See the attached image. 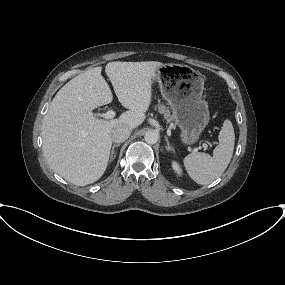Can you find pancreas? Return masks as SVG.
I'll list each match as a JSON object with an SVG mask.
<instances>
[{"mask_svg": "<svg viewBox=\"0 0 285 285\" xmlns=\"http://www.w3.org/2000/svg\"><path fill=\"white\" fill-rule=\"evenodd\" d=\"M157 108H158V111H159L161 114H164V117L166 118V120H167L168 122H170V121L172 120V118H171V116H170V112H169V110L165 107V105L159 104V105L157 106Z\"/></svg>", "mask_w": 285, "mask_h": 285, "instance_id": "obj_1", "label": "pancreas"}]
</instances>
